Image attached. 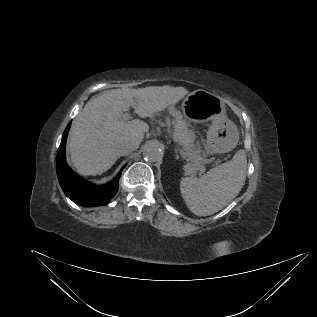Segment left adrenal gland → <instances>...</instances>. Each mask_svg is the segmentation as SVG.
<instances>
[{"instance_id": "1", "label": "left adrenal gland", "mask_w": 317, "mask_h": 317, "mask_svg": "<svg viewBox=\"0 0 317 317\" xmlns=\"http://www.w3.org/2000/svg\"><path fill=\"white\" fill-rule=\"evenodd\" d=\"M176 159H179L178 150L175 148Z\"/></svg>"}]
</instances>
